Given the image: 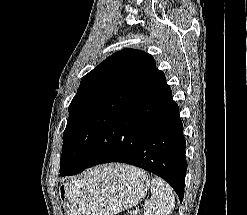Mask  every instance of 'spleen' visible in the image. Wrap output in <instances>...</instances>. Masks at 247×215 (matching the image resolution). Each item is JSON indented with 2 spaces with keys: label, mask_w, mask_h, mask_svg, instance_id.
<instances>
[{
  "label": "spleen",
  "mask_w": 247,
  "mask_h": 215,
  "mask_svg": "<svg viewBox=\"0 0 247 215\" xmlns=\"http://www.w3.org/2000/svg\"><path fill=\"white\" fill-rule=\"evenodd\" d=\"M144 215H170L175 207L172 188L159 177L151 181V198L145 201Z\"/></svg>",
  "instance_id": "3e777b00"
}]
</instances>
